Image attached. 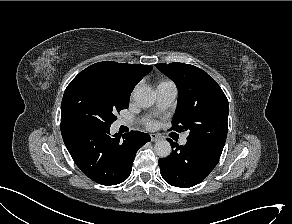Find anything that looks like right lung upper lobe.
<instances>
[{
  "mask_svg": "<svg viewBox=\"0 0 292 224\" xmlns=\"http://www.w3.org/2000/svg\"><path fill=\"white\" fill-rule=\"evenodd\" d=\"M94 65L105 67L116 82L130 94L136 84L152 70L150 65L125 64L113 61L99 62Z\"/></svg>",
  "mask_w": 292,
  "mask_h": 224,
  "instance_id": "cb5924a9",
  "label": "right lung upper lobe"
}]
</instances>
